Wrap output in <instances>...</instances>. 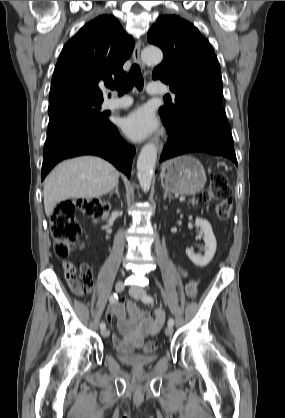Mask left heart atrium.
<instances>
[{
  "label": "left heart atrium",
  "mask_w": 285,
  "mask_h": 418,
  "mask_svg": "<svg viewBox=\"0 0 285 418\" xmlns=\"http://www.w3.org/2000/svg\"><path fill=\"white\" fill-rule=\"evenodd\" d=\"M159 127L154 111L148 106H141L130 112L123 120L124 133L134 141H142Z\"/></svg>",
  "instance_id": "left-heart-atrium-1"
}]
</instances>
